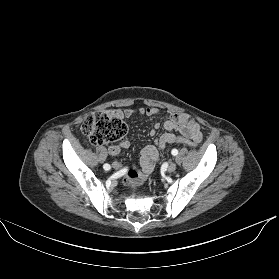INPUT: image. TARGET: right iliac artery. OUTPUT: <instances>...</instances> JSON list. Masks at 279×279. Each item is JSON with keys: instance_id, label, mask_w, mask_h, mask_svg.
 <instances>
[{"instance_id": "1", "label": "right iliac artery", "mask_w": 279, "mask_h": 279, "mask_svg": "<svg viewBox=\"0 0 279 279\" xmlns=\"http://www.w3.org/2000/svg\"><path fill=\"white\" fill-rule=\"evenodd\" d=\"M103 168H104L105 170H110L111 167H110L109 164H104Z\"/></svg>"}]
</instances>
